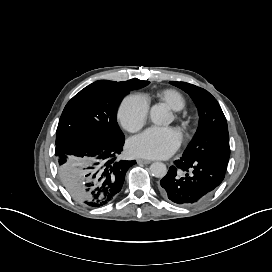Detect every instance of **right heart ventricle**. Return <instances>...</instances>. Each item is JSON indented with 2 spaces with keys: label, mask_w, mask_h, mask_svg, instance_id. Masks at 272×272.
<instances>
[{
  "label": "right heart ventricle",
  "mask_w": 272,
  "mask_h": 272,
  "mask_svg": "<svg viewBox=\"0 0 272 272\" xmlns=\"http://www.w3.org/2000/svg\"><path fill=\"white\" fill-rule=\"evenodd\" d=\"M161 99L164 100L172 109L180 110L184 107L182 96L174 90H166L161 94Z\"/></svg>",
  "instance_id": "1"
}]
</instances>
